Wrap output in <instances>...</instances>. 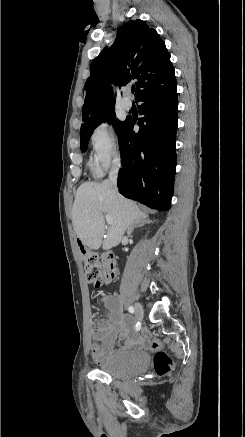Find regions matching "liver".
<instances>
[{
  "label": "liver",
  "instance_id": "1",
  "mask_svg": "<svg viewBox=\"0 0 245 437\" xmlns=\"http://www.w3.org/2000/svg\"><path fill=\"white\" fill-rule=\"evenodd\" d=\"M104 214L112 219L107 232ZM147 217L135 202L115 191L109 180L80 185L72 208V224L77 237L94 250L101 246L103 250L117 246L129 226Z\"/></svg>",
  "mask_w": 245,
  "mask_h": 437
}]
</instances>
